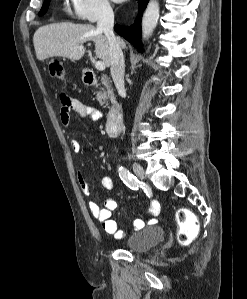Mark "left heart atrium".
I'll use <instances>...</instances> for the list:
<instances>
[{"mask_svg": "<svg viewBox=\"0 0 247 299\" xmlns=\"http://www.w3.org/2000/svg\"><path fill=\"white\" fill-rule=\"evenodd\" d=\"M115 1H118V2H119V1H123V0H115Z\"/></svg>", "mask_w": 247, "mask_h": 299, "instance_id": "1", "label": "left heart atrium"}]
</instances>
